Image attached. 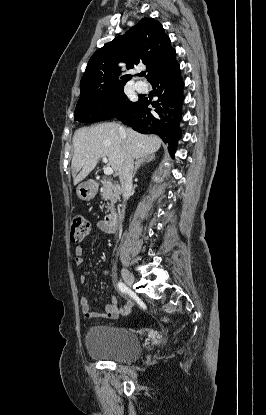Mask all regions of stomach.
<instances>
[{
  "label": "stomach",
  "mask_w": 266,
  "mask_h": 415,
  "mask_svg": "<svg viewBox=\"0 0 266 415\" xmlns=\"http://www.w3.org/2000/svg\"><path fill=\"white\" fill-rule=\"evenodd\" d=\"M76 193L81 200L90 201L95 197L97 187L91 181L83 182L78 185Z\"/></svg>",
  "instance_id": "1"
}]
</instances>
